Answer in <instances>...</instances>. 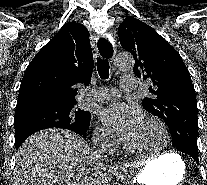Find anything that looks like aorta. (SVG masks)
<instances>
[{
	"label": "aorta",
	"mask_w": 207,
	"mask_h": 185,
	"mask_svg": "<svg viewBox=\"0 0 207 185\" xmlns=\"http://www.w3.org/2000/svg\"><path fill=\"white\" fill-rule=\"evenodd\" d=\"M114 65L120 71H129L134 66V58L131 54L121 53L115 57Z\"/></svg>",
	"instance_id": "1"
}]
</instances>
